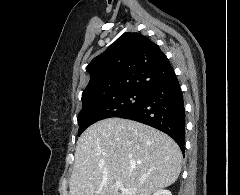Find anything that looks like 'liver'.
Returning <instances> with one entry per match:
<instances>
[{"label": "liver", "mask_w": 240, "mask_h": 195, "mask_svg": "<svg viewBox=\"0 0 240 195\" xmlns=\"http://www.w3.org/2000/svg\"><path fill=\"white\" fill-rule=\"evenodd\" d=\"M70 195H151L181 171L182 153L167 133L121 117L96 121L78 137ZM116 181L126 193L116 189Z\"/></svg>", "instance_id": "liver-1"}]
</instances>
